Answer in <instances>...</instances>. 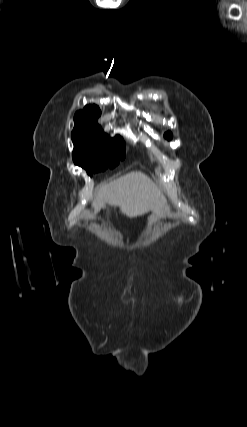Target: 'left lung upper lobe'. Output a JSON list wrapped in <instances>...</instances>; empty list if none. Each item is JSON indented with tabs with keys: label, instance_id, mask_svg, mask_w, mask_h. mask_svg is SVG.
<instances>
[{
	"label": "left lung upper lobe",
	"instance_id": "5c2ea615",
	"mask_svg": "<svg viewBox=\"0 0 247 427\" xmlns=\"http://www.w3.org/2000/svg\"><path fill=\"white\" fill-rule=\"evenodd\" d=\"M164 137H165L166 139H168V140H171V138H172V134H171V132H167V133H165V134H164Z\"/></svg>",
	"mask_w": 247,
	"mask_h": 427
}]
</instances>
